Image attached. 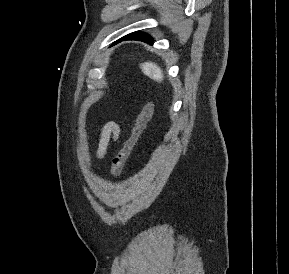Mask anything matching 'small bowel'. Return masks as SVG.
<instances>
[{
  "label": "small bowel",
  "instance_id": "obj_1",
  "mask_svg": "<svg viewBox=\"0 0 289 274\" xmlns=\"http://www.w3.org/2000/svg\"><path fill=\"white\" fill-rule=\"evenodd\" d=\"M120 133V125L115 121H109L103 126L96 152L98 159H103L106 156L109 145L119 139Z\"/></svg>",
  "mask_w": 289,
  "mask_h": 274
}]
</instances>
